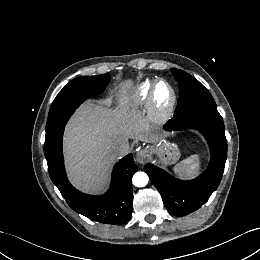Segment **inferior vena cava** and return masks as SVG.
Returning <instances> with one entry per match:
<instances>
[{
  "label": "inferior vena cava",
  "mask_w": 260,
  "mask_h": 260,
  "mask_svg": "<svg viewBox=\"0 0 260 260\" xmlns=\"http://www.w3.org/2000/svg\"><path fill=\"white\" fill-rule=\"evenodd\" d=\"M128 139H122L113 145L112 149L117 155H124L129 151Z\"/></svg>",
  "instance_id": "1"
}]
</instances>
